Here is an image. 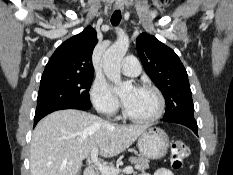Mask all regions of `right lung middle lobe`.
Instances as JSON below:
<instances>
[{"label":"right lung middle lobe","instance_id":"1","mask_svg":"<svg viewBox=\"0 0 233 175\" xmlns=\"http://www.w3.org/2000/svg\"><path fill=\"white\" fill-rule=\"evenodd\" d=\"M94 74L41 78L36 113L56 106L91 108L89 89Z\"/></svg>","mask_w":233,"mask_h":175}]
</instances>
